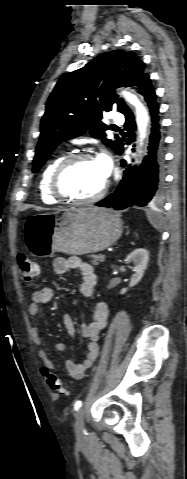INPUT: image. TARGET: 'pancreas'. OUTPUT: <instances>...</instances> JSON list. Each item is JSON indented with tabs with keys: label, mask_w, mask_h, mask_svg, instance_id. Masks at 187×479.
Wrapping results in <instances>:
<instances>
[{
	"label": "pancreas",
	"mask_w": 187,
	"mask_h": 479,
	"mask_svg": "<svg viewBox=\"0 0 187 479\" xmlns=\"http://www.w3.org/2000/svg\"><path fill=\"white\" fill-rule=\"evenodd\" d=\"M91 262L93 265H98L99 263L103 262L104 259L101 258V256L99 255H91Z\"/></svg>",
	"instance_id": "1"
}]
</instances>
